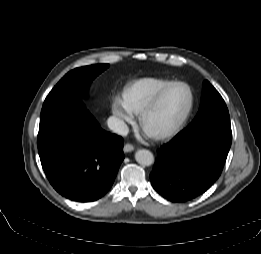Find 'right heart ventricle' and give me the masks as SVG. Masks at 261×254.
<instances>
[{
    "label": "right heart ventricle",
    "mask_w": 261,
    "mask_h": 254,
    "mask_svg": "<svg viewBox=\"0 0 261 254\" xmlns=\"http://www.w3.org/2000/svg\"><path fill=\"white\" fill-rule=\"evenodd\" d=\"M169 83L171 81L146 78L130 85L127 89L126 97L131 110L136 115L141 113Z\"/></svg>",
    "instance_id": "obj_1"
}]
</instances>
